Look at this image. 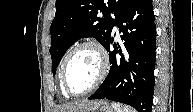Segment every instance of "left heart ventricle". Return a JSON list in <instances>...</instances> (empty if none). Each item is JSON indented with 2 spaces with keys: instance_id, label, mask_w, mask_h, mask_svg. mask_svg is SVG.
Returning a JSON list of instances; mask_svg holds the SVG:
<instances>
[{
  "instance_id": "b2bd125f",
  "label": "left heart ventricle",
  "mask_w": 193,
  "mask_h": 112,
  "mask_svg": "<svg viewBox=\"0 0 193 112\" xmlns=\"http://www.w3.org/2000/svg\"><path fill=\"white\" fill-rule=\"evenodd\" d=\"M99 71V59L91 48H82L75 52L67 66L69 88L79 93L89 88Z\"/></svg>"
}]
</instances>
